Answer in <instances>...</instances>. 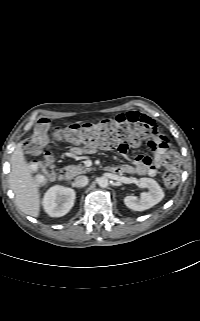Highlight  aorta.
<instances>
[{"label":"aorta","instance_id":"obj_1","mask_svg":"<svg viewBox=\"0 0 200 321\" xmlns=\"http://www.w3.org/2000/svg\"><path fill=\"white\" fill-rule=\"evenodd\" d=\"M98 185L102 188H105L109 185V180L106 177H100L98 179Z\"/></svg>","mask_w":200,"mask_h":321}]
</instances>
